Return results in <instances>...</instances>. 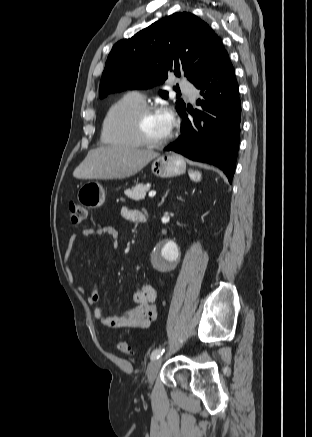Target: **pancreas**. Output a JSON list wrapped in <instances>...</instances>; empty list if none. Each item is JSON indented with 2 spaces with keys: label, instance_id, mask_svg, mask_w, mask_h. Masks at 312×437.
<instances>
[{
  "label": "pancreas",
  "instance_id": "cf45deb5",
  "mask_svg": "<svg viewBox=\"0 0 312 437\" xmlns=\"http://www.w3.org/2000/svg\"><path fill=\"white\" fill-rule=\"evenodd\" d=\"M149 187L145 184H137L132 189H127L125 195L132 200L139 201L145 198Z\"/></svg>",
  "mask_w": 312,
  "mask_h": 437
}]
</instances>
